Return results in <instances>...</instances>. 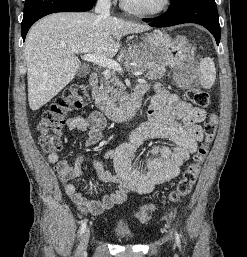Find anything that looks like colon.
<instances>
[{
	"label": "colon",
	"instance_id": "colon-1",
	"mask_svg": "<svg viewBox=\"0 0 247 257\" xmlns=\"http://www.w3.org/2000/svg\"><path fill=\"white\" fill-rule=\"evenodd\" d=\"M187 98L196 106L204 107L209 103V95L200 88H190L186 92ZM89 102L88 89L85 84L76 83L67 87L54 101L49 109L42 114L37 130L39 144L46 154L57 152L61 148V131L67 115L73 110L86 106ZM217 132V117L211 115L204 125V141L194 155L193 162L183 172L176 187L170 192L168 202H178L187 196L195 184L211 142ZM154 211L152 204L142 206L136 213L141 223L150 220Z\"/></svg>",
	"mask_w": 247,
	"mask_h": 257
}]
</instances>
